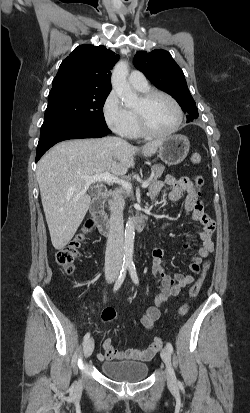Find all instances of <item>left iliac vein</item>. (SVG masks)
Wrapping results in <instances>:
<instances>
[{
    "mask_svg": "<svg viewBox=\"0 0 250 413\" xmlns=\"http://www.w3.org/2000/svg\"><path fill=\"white\" fill-rule=\"evenodd\" d=\"M161 358L166 365L167 380L169 385H174L176 382V377L171 365V354L167 348L162 349Z\"/></svg>",
    "mask_w": 250,
    "mask_h": 413,
    "instance_id": "left-iliac-vein-1",
    "label": "left iliac vein"
}]
</instances>
